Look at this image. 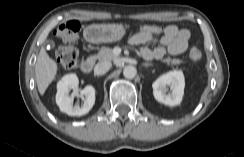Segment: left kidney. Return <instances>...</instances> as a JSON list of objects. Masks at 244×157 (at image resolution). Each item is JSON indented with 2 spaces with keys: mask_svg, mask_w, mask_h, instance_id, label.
<instances>
[{
  "mask_svg": "<svg viewBox=\"0 0 244 157\" xmlns=\"http://www.w3.org/2000/svg\"><path fill=\"white\" fill-rule=\"evenodd\" d=\"M153 95L158 102L169 106H177L181 103L185 80L180 70L170 71L160 76L152 84ZM170 89L171 92L168 93Z\"/></svg>",
  "mask_w": 244,
  "mask_h": 157,
  "instance_id": "left-kidney-1",
  "label": "left kidney"
}]
</instances>
